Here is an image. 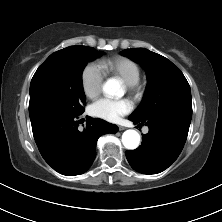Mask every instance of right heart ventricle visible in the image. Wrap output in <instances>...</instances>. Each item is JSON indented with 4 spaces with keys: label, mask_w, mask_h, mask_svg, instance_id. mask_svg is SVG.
<instances>
[{
    "label": "right heart ventricle",
    "mask_w": 222,
    "mask_h": 222,
    "mask_svg": "<svg viewBox=\"0 0 222 222\" xmlns=\"http://www.w3.org/2000/svg\"><path fill=\"white\" fill-rule=\"evenodd\" d=\"M103 72L118 76L126 85L139 82L141 69L132 59L126 57H115L101 62Z\"/></svg>",
    "instance_id": "1"
}]
</instances>
